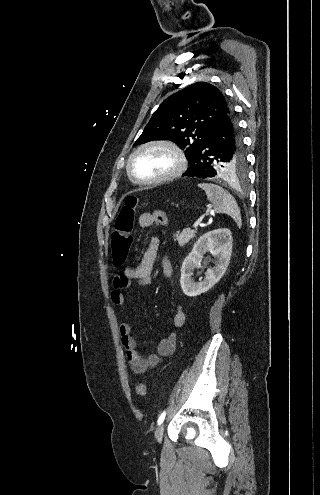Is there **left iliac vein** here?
Wrapping results in <instances>:
<instances>
[{"label": "left iliac vein", "mask_w": 320, "mask_h": 495, "mask_svg": "<svg viewBox=\"0 0 320 495\" xmlns=\"http://www.w3.org/2000/svg\"><path fill=\"white\" fill-rule=\"evenodd\" d=\"M163 433H164V424H160L155 430V438L158 443L162 442Z\"/></svg>", "instance_id": "obj_1"}]
</instances>
